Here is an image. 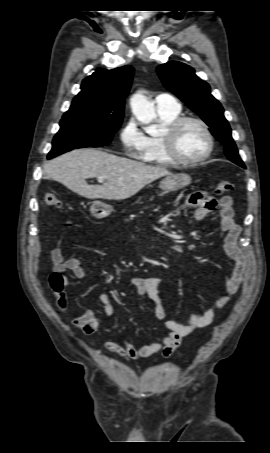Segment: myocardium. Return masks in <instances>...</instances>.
<instances>
[{
	"mask_svg": "<svg viewBox=\"0 0 270 453\" xmlns=\"http://www.w3.org/2000/svg\"><path fill=\"white\" fill-rule=\"evenodd\" d=\"M189 122L198 124L204 131L207 139V149L203 154L196 158H184L177 153L175 148V140L179 130L184 124ZM160 141L165 154L176 164L190 165L200 163L207 159L214 149V138L208 124L204 120L194 116H179L171 121L165 126V129L160 136Z\"/></svg>",
	"mask_w": 270,
	"mask_h": 453,
	"instance_id": "f54148a6",
	"label": "myocardium"
}]
</instances>
